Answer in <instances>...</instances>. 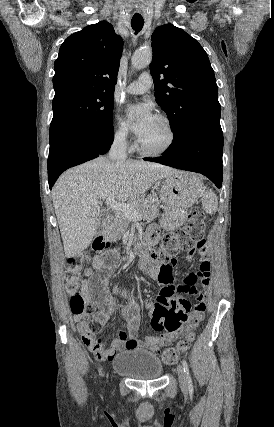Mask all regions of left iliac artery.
Instances as JSON below:
<instances>
[{"label":"left iliac artery","mask_w":274,"mask_h":427,"mask_svg":"<svg viewBox=\"0 0 274 427\" xmlns=\"http://www.w3.org/2000/svg\"><path fill=\"white\" fill-rule=\"evenodd\" d=\"M182 365H183L184 372L186 374L187 386H188L189 393L192 394L194 387H193L192 379H191V376L189 373L188 364H187L185 359L182 360Z\"/></svg>","instance_id":"obj_1"}]
</instances>
